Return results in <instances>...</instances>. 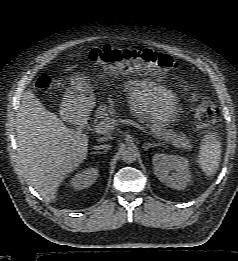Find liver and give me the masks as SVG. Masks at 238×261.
<instances>
[{"mask_svg": "<svg viewBox=\"0 0 238 261\" xmlns=\"http://www.w3.org/2000/svg\"><path fill=\"white\" fill-rule=\"evenodd\" d=\"M16 131L26 179L48 202H54L60 184L86 159L88 137L45 110L31 90L23 94Z\"/></svg>", "mask_w": 238, "mask_h": 261, "instance_id": "6515ba94", "label": "liver"}]
</instances>
